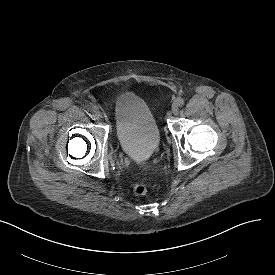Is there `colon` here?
I'll list each match as a JSON object with an SVG mask.
<instances>
[{
    "instance_id": "5ec220e1",
    "label": "colon",
    "mask_w": 275,
    "mask_h": 275,
    "mask_svg": "<svg viewBox=\"0 0 275 275\" xmlns=\"http://www.w3.org/2000/svg\"><path fill=\"white\" fill-rule=\"evenodd\" d=\"M148 191L147 184L145 182H138L133 186V192L137 196H144Z\"/></svg>"
}]
</instances>
